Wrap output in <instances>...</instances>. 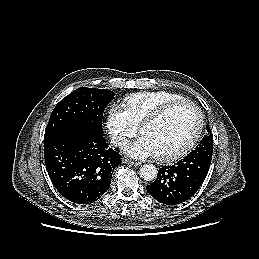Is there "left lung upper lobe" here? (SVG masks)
Segmentation results:
<instances>
[{
	"label": "left lung upper lobe",
	"mask_w": 259,
	"mask_h": 259,
	"mask_svg": "<svg viewBox=\"0 0 259 259\" xmlns=\"http://www.w3.org/2000/svg\"><path fill=\"white\" fill-rule=\"evenodd\" d=\"M208 134L203 137L199 145L190 153L194 156H203L212 159L213 153V135L209 126L206 127Z\"/></svg>",
	"instance_id": "5c2ea615"
}]
</instances>
